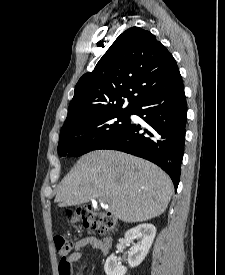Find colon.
<instances>
[{
    "label": "colon",
    "mask_w": 225,
    "mask_h": 275,
    "mask_svg": "<svg viewBox=\"0 0 225 275\" xmlns=\"http://www.w3.org/2000/svg\"><path fill=\"white\" fill-rule=\"evenodd\" d=\"M77 214L85 227L101 233H108L117 229V219L111 213L96 210L90 206H83L78 208ZM54 245L56 253L62 256L59 263L60 275H72V265L67 259V255L71 252L73 247L72 241L57 235L54 237Z\"/></svg>",
    "instance_id": "1"
}]
</instances>
